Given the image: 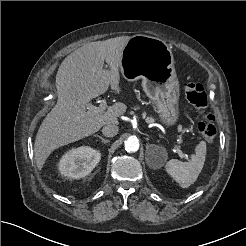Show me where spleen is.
<instances>
[{"instance_id": "obj_1", "label": "spleen", "mask_w": 246, "mask_h": 246, "mask_svg": "<svg viewBox=\"0 0 246 246\" xmlns=\"http://www.w3.org/2000/svg\"><path fill=\"white\" fill-rule=\"evenodd\" d=\"M205 158L206 142L200 141L190 161L182 162L177 159H171L166 163L165 168L182 188H188L195 183L201 173Z\"/></svg>"}]
</instances>
